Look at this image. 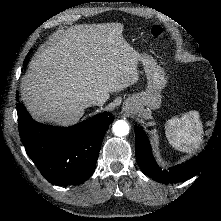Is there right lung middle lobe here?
<instances>
[{
	"instance_id": "dd1d6c3e",
	"label": "right lung middle lobe",
	"mask_w": 221,
	"mask_h": 221,
	"mask_svg": "<svg viewBox=\"0 0 221 221\" xmlns=\"http://www.w3.org/2000/svg\"><path fill=\"white\" fill-rule=\"evenodd\" d=\"M28 62H29V56H27V57L25 58L24 66H26V65L28 64Z\"/></svg>"
}]
</instances>
